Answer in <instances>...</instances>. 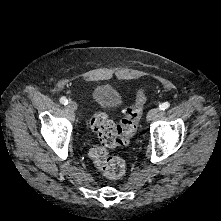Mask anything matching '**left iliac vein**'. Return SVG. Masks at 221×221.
<instances>
[{"label": "left iliac vein", "instance_id": "left-iliac-vein-1", "mask_svg": "<svg viewBox=\"0 0 221 221\" xmlns=\"http://www.w3.org/2000/svg\"><path fill=\"white\" fill-rule=\"evenodd\" d=\"M158 114V109L157 108H152L148 114H147V121H150L152 119H154Z\"/></svg>", "mask_w": 221, "mask_h": 221}]
</instances>
